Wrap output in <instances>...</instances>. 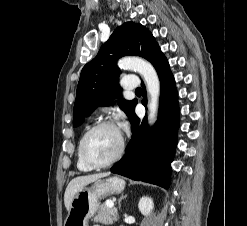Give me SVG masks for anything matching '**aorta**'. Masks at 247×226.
I'll return each mask as SVG.
<instances>
[{
	"mask_svg": "<svg viewBox=\"0 0 247 226\" xmlns=\"http://www.w3.org/2000/svg\"><path fill=\"white\" fill-rule=\"evenodd\" d=\"M118 65L123 70L137 71L143 77L149 95L148 121L152 125L156 121L160 96V81L156 70L151 63L140 57H124Z\"/></svg>",
	"mask_w": 247,
	"mask_h": 226,
	"instance_id": "aorta-1",
	"label": "aorta"
}]
</instances>
